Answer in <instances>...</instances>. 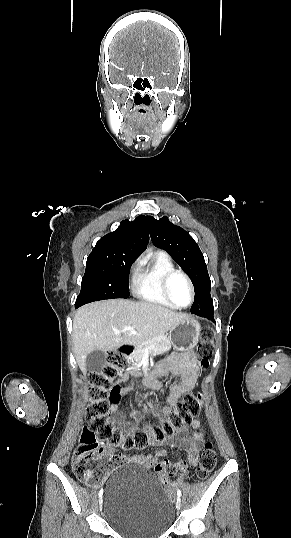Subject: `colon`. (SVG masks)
Wrapping results in <instances>:
<instances>
[{"label": "colon", "mask_w": 291, "mask_h": 538, "mask_svg": "<svg viewBox=\"0 0 291 538\" xmlns=\"http://www.w3.org/2000/svg\"><path fill=\"white\" fill-rule=\"evenodd\" d=\"M210 330H204L205 339L197 348L199 366L206 369L213 355V347L209 339ZM126 357L121 353L108 355L106 364L90 377L87 407L88 423L84 426L80 442L72 457V466L76 476L83 482L100 481L110 471L111 460H101V443L110 448L121 446L126 451L143 450L151 442H161L166 436L184 430L192 418L202 410L201 393L185 394L176 406L166 415L165 420L150 429H137L124 437L122 431L109 417L110 402L119 398L120 387L115 381L126 365ZM145 466L154 467L164 484L170 482L174 469L167 460L151 459L142 462ZM216 464V452L211 442H206L200 455L196 477L206 479Z\"/></svg>", "instance_id": "1"}]
</instances>
